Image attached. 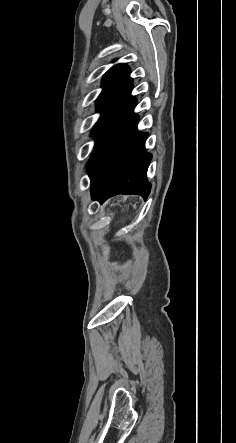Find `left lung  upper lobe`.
I'll return each mask as SVG.
<instances>
[{
	"label": "left lung upper lobe",
	"instance_id": "5c2ea615",
	"mask_svg": "<svg viewBox=\"0 0 236 443\" xmlns=\"http://www.w3.org/2000/svg\"><path fill=\"white\" fill-rule=\"evenodd\" d=\"M130 73V68L123 63L113 66L105 73L102 80L103 90L96 102L99 112L104 114L125 93L123 88L128 89L132 85Z\"/></svg>",
	"mask_w": 236,
	"mask_h": 443
}]
</instances>
